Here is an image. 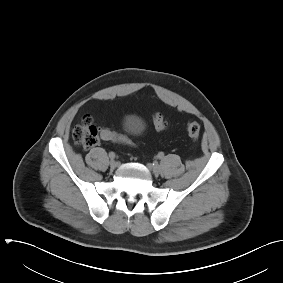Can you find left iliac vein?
I'll return each mask as SVG.
<instances>
[{
    "label": "left iliac vein",
    "mask_w": 283,
    "mask_h": 283,
    "mask_svg": "<svg viewBox=\"0 0 283 283\" xmlns=\"http://www.w3.org/2000/svg\"><path fill=\"white\" fill-rule=\"evenodd\" d=\"M147 166H148L149 170H150L154 175H159V174H160V167H159V165L149 163Z\"/></svg>",
    "instance_id": "1"
}]
</instances>
